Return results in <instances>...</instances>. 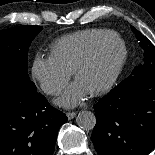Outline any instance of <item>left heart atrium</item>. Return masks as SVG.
Instances as JSON below:
<instances>
[{"mask_svg": "<svg viewBox=\"0 0 155 155\" xmlns=\"http://www.w3.org/2000/svg\"><path fill=\"white\" fill-rule=\"evenodd\" d=\"M88 93L81 84L75 82L56 102L64 107H73L79 104Z\"/></svg>", "mask_w": 155, "mask_h": 155, "instance_id": "1", "label": "left heart atrium"}]
</instances>
